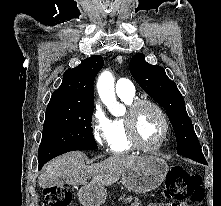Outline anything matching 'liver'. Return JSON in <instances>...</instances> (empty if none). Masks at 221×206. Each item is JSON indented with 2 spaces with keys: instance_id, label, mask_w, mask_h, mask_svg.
Wrapping results in <instances>:
<instances>
[{
  "instance_id": "6515ba94",
  "label": "liver",
  "mask_w": 221,
  "mask_h": 206,
  "mask_svg": "<svg viewBox=\"0 0 221 206\" xmlns=\"http://www.w3.org/2000/svg\"><path fill=\"white\" fill-rule=\"evenodd\" d=\"M138 158L133 155H114L87 166L84 153L74 151L51 161L46 166L45 173L39 176L38 183L45 188L54 184L52 180L63 179L69 185H88L87 180L92 177V185H111L118 181Z\"/></svg>"
}]
</instances>
